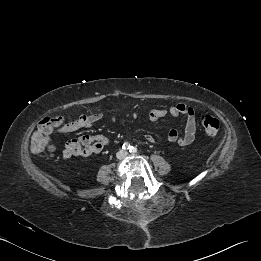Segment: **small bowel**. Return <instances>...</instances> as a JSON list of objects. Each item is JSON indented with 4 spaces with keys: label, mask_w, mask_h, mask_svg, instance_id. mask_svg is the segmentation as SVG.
<instances>
[{
    "label": "small bowel",
    "mask_w": 261,
    "mask_h": 261,
    "mask_svg": "<svg viewBox=\"0 0 261 261\" xmlns=\"http://www.w3.org/2000/svg\"><path fill=\"white\" fill-rule=\"evenodd\" d=\"M168 114L174 118L180 116L185 117L183 133L180 135L177 130H170L168 133V141L180 146L190 145L194 141L196 134V121L193 108L186 104H178L169 109H151L149 111V119L151 121H157ZM102 117L103 115L101 113L83 114L73 121L56 126L54 130L59 133H70L80 128H90L100 121ZM146 139L149 142L155 141L152 134H147ZM109 143V139L103 135H82L76 140L69 141L62 155L64 158L91 156L102 152ZM49 150L51 154H53L54 147L51 146Z\"/></svg>",
    "instance_id": "c3829d8e"
}]
</instances>
